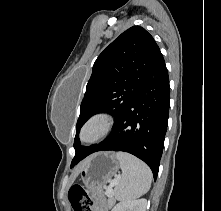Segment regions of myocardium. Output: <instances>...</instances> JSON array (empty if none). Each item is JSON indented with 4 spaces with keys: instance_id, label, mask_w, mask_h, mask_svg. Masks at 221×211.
Returning a JSON list of instances; mask_svg holds the SVG:
<instances>
[{
    "instance_id": "f54148a6",
    "label": "myocardium",
    "mask_w": 221,
    "mask_h": 211,
    "mask_svg": "<svg viewBox=\"0 0 221 211\" xmlns=\"http://www.w3.org/2000/svg\"><path fill=\"white\" fill-rule=\"evenodd\" d=\"M113 127V118L106 112H97L90 115L82 124L79 131V140L86 145L95 144L104 139ZM93 129L94 135L87 137V132Z\"/></svg>"
}]
</instances>
